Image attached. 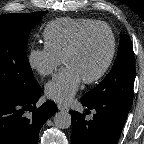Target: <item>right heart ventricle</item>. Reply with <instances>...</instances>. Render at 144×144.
I'll list each match as a JSON object with an SVG mask.
<instances>
[{
	"mask_svg": "<svg viewBox=\"0 0 144 144\" xmlns=\"http://www.w3.org/2000/svg\"><path fill=\"white\" fill-rule=\"evenodd\" d=\"M97 22L99 21L90 18L63 17L55 19L44 28V43L62 58L78 32Z\"/></svg>",
	"mask_w": 144,
	"mask_h": 144,
	"instance_id": "obj_1",
	"label": "right heart ventricle"
}]
</instances>
